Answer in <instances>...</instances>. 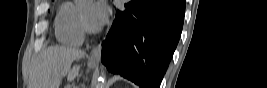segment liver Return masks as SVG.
I'll use <instances>...</instances> for the list:
<instances>
[{"mask_svg": "<svg viewBox=\"0 0 267 88\" xmlns=\"http://www.w3.org/2000/svg\"><path fill=\"white\" fill-rule=\"evenodd\" d=\"M85 56L82 50L66 46H51L43 50L33 63L28 88H59L67 75L73 81L79 73L80 65H71Z\"/></svg>", "mask_w": 267, "mask_h": 88, "instance_id": "obj_1", "label": "liver"}]
</instances>
